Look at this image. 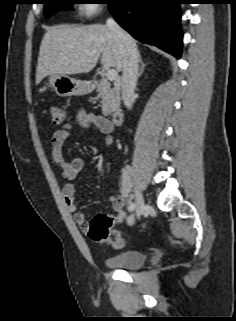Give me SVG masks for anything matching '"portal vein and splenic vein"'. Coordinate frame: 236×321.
Returning a JSON list of instances; mask_svg holds the SVG:
<instances>
[{"label":"portal vein and splenic vein","instance_id":"18ae733b","mask_svg":"<svg viewBox=\"0 0 236 321\" xmlns=\"http://www.w3.org/2000/svg\"><path fill=\"white\" fill-rule=\"evenodd\" d=\"M106 77L110 81H114L118 77V72L115 69H107Z\"/></svg>","mask_w":236,"mask_h":321}]
</instances>
